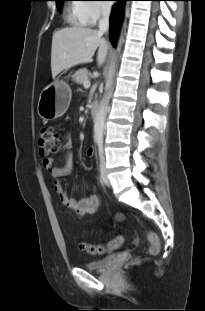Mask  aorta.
<instances>
[{
	"label": "aorta",
	"instance_id": "1",
	"mask_svg": "<svg viewBox=\"0 0 205 311\" xmlns=\"http://www.w3.org/2000/svg\"><path fill=\"white\" fill-rule=\"evenodd\" d=\"M120 50V43H118L117 51ZM116 70V63H113L109 69L108 73V80H107V90L104 94V97L100 103L98 112L96 114L95 120H94V139L96 142H102L103 141V134H104V128H105V119L108 109V103L109 99L112 93L113 89V80Z\"/></svg>",
	"mask_w": 205,
	"mask_h": 311
}]
</instances>
